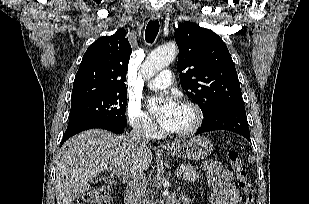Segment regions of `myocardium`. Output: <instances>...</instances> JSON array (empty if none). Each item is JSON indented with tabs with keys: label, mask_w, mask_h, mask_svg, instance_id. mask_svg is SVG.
Instances as JSON below:
<instances>
[{
	"label": "myocardium",
	"mask_w": 309,
	"mask_h": 204,
	"mask_svg": "<svg viewBox=\"0 0 309 204\" xmlns=\"http://www.w3.org/2000/svg\"><path fill=\"white\" fill-rule=\"evenodd\" d=\"M180 106L185 107L192 112L193 121L188 127L181 130L171 131L170 133L181 137L192 135L202 126L204 120L203 111L196 103L192 101H183Z\"/></svg>",
	"instance_id": "myocardium-1"
}]
</instances>
